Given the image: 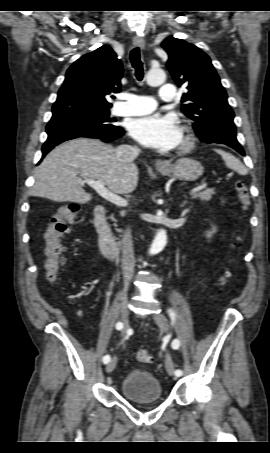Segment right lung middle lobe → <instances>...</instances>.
Returning <instances> with one entry per match:
<instances>
[{
  "instance_id": "1",
  "label": "right lung middle lobe",
  "mask_w": 270,
  "mask_h": 453,
  "mask_svg": "<svg viewBox=\"0 0 270 453\" xmlns=\"http://www.w3.org/2000/svg\"><path fill=\"white\" fill-rule=\"evenodd\" d=\"M109 110L86 111L74 115L51 118L49 123H77L93 127L113 128Z\"/></svg>"
}]
</instances>
